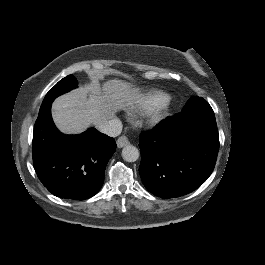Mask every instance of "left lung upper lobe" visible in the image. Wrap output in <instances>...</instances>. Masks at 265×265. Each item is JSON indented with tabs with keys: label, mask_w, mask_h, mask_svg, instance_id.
Instances as JSON below:
<instances>
[{
	"label": "left lung upper lobe",
	"mask_w": 265,
	"mask_h": 265,
	"mask_svg": "<svg viewBox=\"0 0 265 265\" xmlns=\"http://www.w3.org/2000/svg\"><path fill=\"white\" fill-rule=\"evenodd\" d=\"M206 101L202 98V97H197V96H194V97H191L186 105L183 107L182 111H186L188 109H191L193 107H196L198 105H201L203 103H205Z\"/></svg>",
	"instance_id": "obj_1"
}]
</instances>
